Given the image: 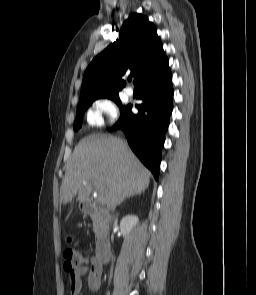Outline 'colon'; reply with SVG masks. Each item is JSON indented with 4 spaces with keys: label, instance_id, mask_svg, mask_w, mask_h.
I'll return each mask as SVG.
<instances>
[{
    "label": "colon",
    "instance_id": "colon-1",
    "mask_svg": "<svg viewBox=\"0 0 256 295\" xmlns=\"http://www.w3.org/2000/svg\"><path fill=\"white\" fill-rule=\"evenodd\" d=\"M63 257L64 268L69 272L76 270L84 262L82 253L71 247H68L64 250Z\"/></svg>",
    "mask_w": 256,
    "mask_h": 295
}]
</instances>
